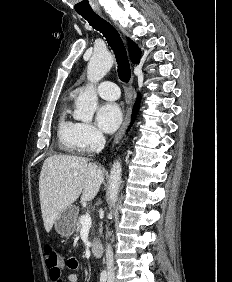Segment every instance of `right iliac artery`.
I'll list each match as a JSON object with an SVG mask.
<instances>
[{
  "label": "right iliac artery",
  "mask_w": 232,
  "mask_h": 282,
  "mask_svg": "<svg viewBox=\"0 0 232 282\" xmlns=\"http://www.w3.org/2000/svg\"><path fill=\"white\" fill-rule=\"evenodd\" d=\"M106 280H107V273L106 271H103L100 274V282H106Z\"/></svg>",
  "instance_id": "right-iliac-artery-1"
}]
</instances>
